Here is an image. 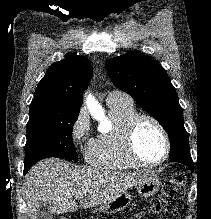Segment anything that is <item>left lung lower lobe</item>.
<instances>
[{"label": "left lung lower lobe", "instance_id": "0a47b994", "mask_svg": "<svg viewBox=\"0 0 211 219\" xmlns=\"http://www.w3.org/2000/svg\"><path fill=\"white\" fill-rule=\"evenodd\" d=\"M169 158L172 160V162H178L188 166L191 170L193 169V161L190 152L180 153L176 156H171Z\"/></svg>", "mask_w": 211, "mask_h": 219}]
</instances>
